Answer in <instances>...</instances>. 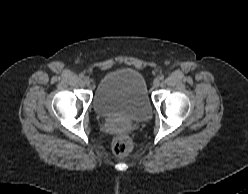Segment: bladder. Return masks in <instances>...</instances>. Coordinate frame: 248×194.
<instances>
[{"label":"bladder","mask_w":248,"mask_h":194,"mask_svg":"<svg viewBox=\"0 0 248 194\" xmlns=\"http://www.w3.org/2000/svg\"><path fill=\"white\" fill-rule=\"evenodd\" d=\"M93 106L100 116L147 120L152 108L145 77L129 68L106 73L96 86Z\"/></svg>","instance_id":"bladder-1"}]
</instances>
